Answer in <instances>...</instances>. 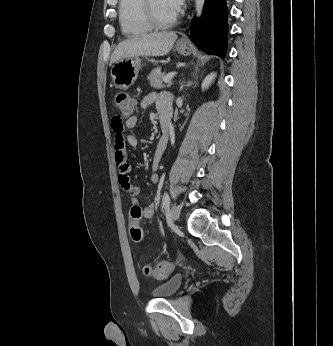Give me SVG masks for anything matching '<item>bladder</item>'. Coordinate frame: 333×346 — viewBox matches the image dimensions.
Instances as JSON below:
<instances>
[{
	"mask_svg": "<svg viewBox=\"0 0 333 346\" xmlns=\"http://www.w3.org/2000/svg\"><path fill=\"white\" fill-rule=\"evenodd\" d=\"M183 281L182 274H175L171 276L166 281L157 285L153 291L152 295L158 299H166L172 297L180 288Z\"/></svg>",
	"mask_w": 333,
	"mask_h": 346,
	"instance_id": "1",
	"label": "bladder"
}]
</instances>
